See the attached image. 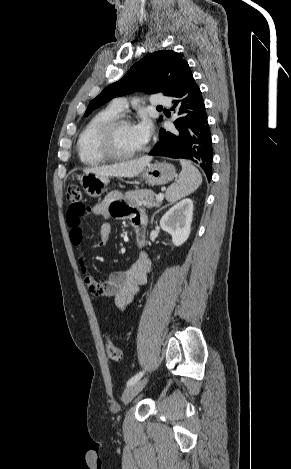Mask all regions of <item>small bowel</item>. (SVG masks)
I'll use <instances>...</instances> for the list:
<instances>
[{"mask_svg": "<svg viewBox=\"0 0 291 469\" xmlns=\"http://www.w3.org/2000/svg\"><path fill=\"white\" fill-rule=\"evenodd\" d=\"M91 212L103 219H130L134 228H141L144 231L146 229L147 218L145 214L126 205L119 192L109 193L93 207ZM83 216L72 207L67 211L66 220L70 229V241L74 246L81 245L83 240L81 226ZM110 234L111 225L109 222H104L100 228V239L93 246L106 245L110 240ZM80 264L89 291L98 298H113L115 306L121 311L125 310L132 302L140 287L147 283V275L151 267L150 259L143 252L128 269L112 272L108 281L100 283L88 273L83 261Z\"/></svg>", "mask_w": 291, "mask_h": 469, "instance_id": "1", "label": "small bowel"}]
</instances>
